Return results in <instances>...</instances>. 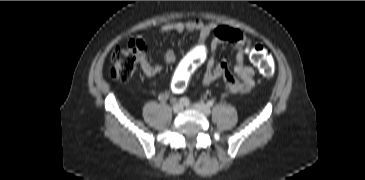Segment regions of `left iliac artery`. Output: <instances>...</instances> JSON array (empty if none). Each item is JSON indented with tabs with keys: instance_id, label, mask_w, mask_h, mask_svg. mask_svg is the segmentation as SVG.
<instances>
[{
	"instance_id": "obj_1",
	"label": "left iliac artery",
	"mask_w": 365,
	"mask_h": 180,
	"mask_svg": "<svg viewBox=\"0 0 365 180\" xmlns=\"http://www.w3.org/2000/svg\"><path fill=\"white\" fill-rule=\"evenodd\" d=\"M213 105H214V101L213 100H209L207 102V106L212 107Z\"/></svg>"
}]
</instances>
